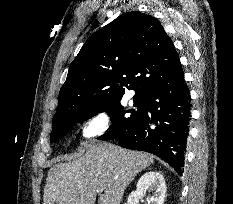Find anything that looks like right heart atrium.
Here are the masks:
<instances>
[{
    "mask_svg": "<svg viewBox=\"0 0 233 204\" xmlns=\"http://www.w3.org/2000/svg\"><path fill=\"white\" fill-rule=\"evenodd\" d=\"M112 125L111 114L108 109L100 108L89 113L80 126L82 139H95L105 135Z\"/></svg>",
    "mask_w": 233,
    "mask_h": 204,
    "instance_id": "1",
    "label": "right heart atrium"
}]
</instances>
